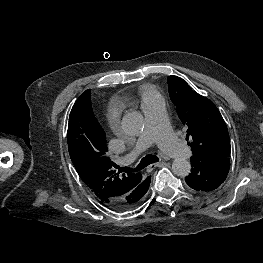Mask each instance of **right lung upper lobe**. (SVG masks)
<instances>
[{
	"mask_svg": "<svg viewBox=\"0 0 263 263\" xmlns=\"http://www.w3.org/2000/svg\"><path fill=\"white\" fill-rule=\"evenodd\" d=\"M67 143L72 163L81 180L106 206L117 203L121 211L134 208L144 196L147 178L140 173L119 175L108 157L106 135L94 117L91 93L86 90L69 116Z\"/></svg>",
	"mask_w": 263,
	"mask_h": 263,
	"instance_id": "cb5924a9",
	"label": "right lung upper lobe"
}]
</instances>
